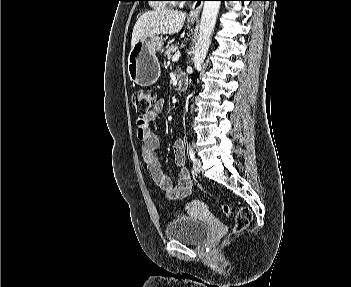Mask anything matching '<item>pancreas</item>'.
<instances>
[{"label":"pancreas","mask_w":351,"mask_h":287,"mask_svg":"<svg viewBox=\"0 0 351 287\" xmlns=\"http://www.w3.org/2000/svg\"><path fill=\"white\" fill-rule=\"evenodd\" d=\"M178 49L177 45H171L168 49L164 52V55L167 56V59L170 60L172 58V54L176 52Z\"/></svg>","instance_id":"cf45deb5"}]
</instances>
